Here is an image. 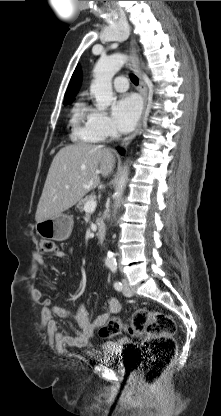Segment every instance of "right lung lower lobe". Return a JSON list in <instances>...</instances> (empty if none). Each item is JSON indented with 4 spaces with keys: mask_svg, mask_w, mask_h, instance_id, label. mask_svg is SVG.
Masks as SVG:
<instances>
[{
    "mask_svg": "<svg viewBox=\"0 0 221 416\" xmlns=\"http://www.w3.org/2000/svg\"><path fill=\"white\" fill-rule=\"evenodd\" d=\"M118 151L123 155V150H121V149H118Z\"/></svg>",
    "mask_w": 221,
    "mask_h": 416,
    "instance_id": "obj_1",
    "label": "right lung lower lobe"
}]
</instances>
